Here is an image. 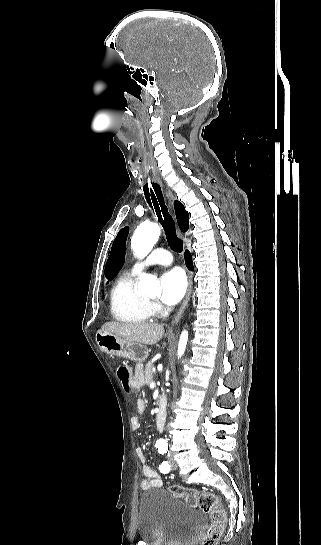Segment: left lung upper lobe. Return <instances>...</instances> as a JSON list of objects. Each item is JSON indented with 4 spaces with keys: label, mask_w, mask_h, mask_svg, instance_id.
Segmentation results:
<instances>
[{
    "label": "left lung upper lobe",
    "mask_w": 321,
    "mask_h": 545,
    "mask_svg": "<svg viewBox=\"0 0 321 545\" xmlns=\"http://www.w3.org/2000/svg\"><path fill=\"white\" fill-rule=\"evenodd\" d=\"M127 234V227L121 229L113 242L111 254L105 268V276L109 281H111L117 275L124 262Z\"/></svg>",
    "instance_id": "1"
}]
</instances>
